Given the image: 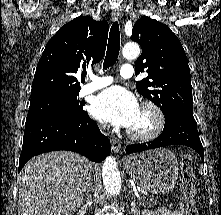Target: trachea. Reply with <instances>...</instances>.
Here are the masks:
<instances>
[{
    "mask_svg": "<svg viewBox=\"0 0 221 215\" xmlns=\"http://www.w3.org/2000/svg\"><path fill=\"white\" fill-rule=\"evenodd\" d=\"M119 50H120L119 24L117 21H115L110 29L107 52L103 64L104 69H107L116 63L119 55Z\"/></svg>",
    "mask_w": 221,
    "mask_h": 215,
    "instance_id": "1",
    "label": "trachea"
}]
</instances>
